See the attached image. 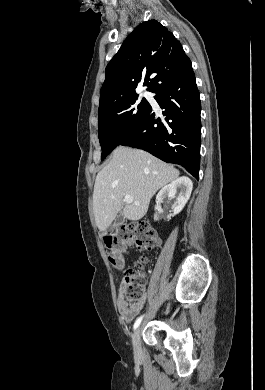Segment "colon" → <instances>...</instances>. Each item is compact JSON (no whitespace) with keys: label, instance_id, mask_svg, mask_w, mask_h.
Here are the masks:
<instances>
[{"label":"colon","instance_id":"5ec220e1","mask_svg":"<svg viewBox=\"0 0 265 390\" xmlns=\"http://www.w3.org/2000/svg\"><path fill=\"white\" fill-rule=\"evenodd\" d=\"M130 244H135L141 250L150 251L158 246L159 238L157 233L146 222L118 227L105 238L108 258L115 267L123 266L125 249ZM146 260L145 257L141 258L126 271L123 293L125 301L134 303L144 297L145 274L143 266Z\"/></svg>","mask_w":265,"mask_h":390}]
</instances>
